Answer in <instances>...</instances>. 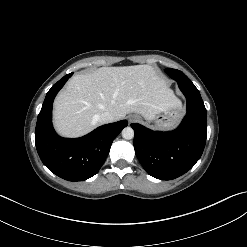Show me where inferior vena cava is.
Masks as SVG:
<instances>
[{
  "label": "inferior vena cava",
  "mask_w": 247,
  "mask_h": 247,
  "mask_svg": "<svg viewBox=\"0 0 247 247\" xmlns=\"http://www.w3.org/2000/svg\"><path fill=\"white\" fill-rule=\"evenodd\" d=\"M115 120V117L112 113L110 112H103L102 114H100L98 116V121L101 124H106V123H110L113 122Z\"/></svg>",
  "instance_id": "inferior-vena-cava-1"
}]
</instances>
